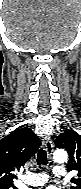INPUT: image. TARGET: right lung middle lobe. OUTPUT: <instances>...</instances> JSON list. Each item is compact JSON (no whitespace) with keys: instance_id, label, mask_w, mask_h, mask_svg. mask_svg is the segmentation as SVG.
<instances>
[{"instance_id":"obj_1","label":"right lung middle lobe","mask_w":81,"mask_h":189,"mask_svg":"<svg viewBox=\"0 0 81 189\" xmlns=\"http://www.w3.org/2000/svg\"><path fill=\"white\" fill-rule=\"evenodd\" d=\"M0 189H17L14 184L0 186Z\"/></svg>"}]
</instances>
